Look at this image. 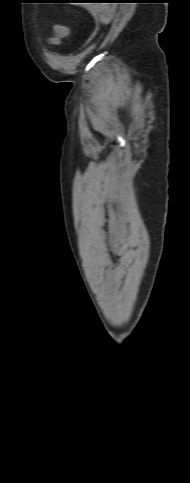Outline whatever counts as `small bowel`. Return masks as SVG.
<instances>
[{"label":"small bowel","instance_id":"small-bowel-1","mask_svg":"<svg viewBox=\"0 0 190 483\" xmlns=\"http://www.w3.org/2000/svg\"><path fill=\"white\" fill-rule=\"evenodd\" d=\"M68 32L65 27L63 26H58L55 28V33L52 37L49 38V43L50 44H58L61 39L65 38L67 36Z\"/></svg>","mask_w":190,"mask_h":483}]
</instances>
